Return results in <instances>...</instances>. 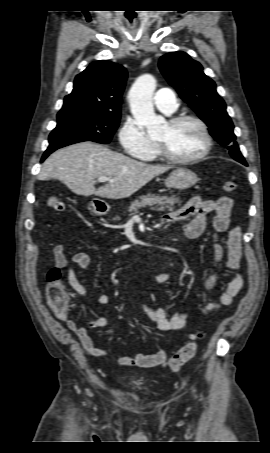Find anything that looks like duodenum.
<instances>
[{
	"label": "duodenum",
	"instance_id": "410a0bca",
	"mask_svg": "<svg viewBox=\"0 0 270 453\" xmlns=\"http://www.w3.org/2000/svg\"><path fill=\"white\" fill-rule=\"evenodd\" d=\"M106 212H107L106 209H99V213H100V214H105Z\"/></svg>",
	"mask_w": 270,
	"mask_h": 453
}]
</instances>
